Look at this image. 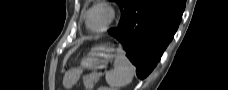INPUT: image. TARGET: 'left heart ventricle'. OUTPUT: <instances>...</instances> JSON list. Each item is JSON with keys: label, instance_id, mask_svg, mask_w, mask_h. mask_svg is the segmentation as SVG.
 <instances>
[{"label": "left heart ventricle", "instance_id": "1", "mask_svg": "<svg viewBox=\"0 0 228 90\" xmlns=\"http://www.w3.org/2000/svg\"><path fill=\"white\" fill-rule=\"evenodd\" d=\"M108 19V12L103 8L94 9L89 18V25L92 29L98 30L102 28Z\"/></svg>", "mask_w": 228, "mask_h": 90}]
</instances>
